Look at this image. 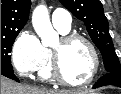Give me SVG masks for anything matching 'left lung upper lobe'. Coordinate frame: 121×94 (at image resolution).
Wrapping results in <instances>:
<instances>
[{
    "label": "left lung upper lobe",
    "instance_id": "1",
    "mask_svg": "<svg viewBox=\"0 0 121 94\" xmlns=\"http://www.w3.org/2000/svg\"><path fill=\"white\" fill-rule=\"evenodd\" d=\"M75 17L83 21L87 31L102 53L107 72H121V65L115 53L109 25L99 0H59Z\"/></svg>",
    "mask_w": 121,
    "mask_h": 94
}]
</instances>
